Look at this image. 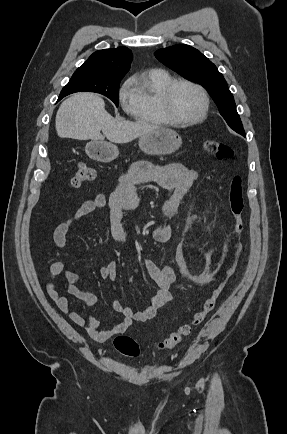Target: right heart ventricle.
Here are the masks:
<instances>
[{
    "label": "right heart ventricle",
    "instance_id": "1",
    "mask_svg": "<svg viewBox=\"0 0 287 434\" xmlns=\"http://www.w3.org/2000/svg\"><path fill=\"white\" fill-rule=\"evenodd\" d=\"M172 79V76L162 69L148 70L134 78L136 103L129 113L140 122L169 124L161 111L159 99L164 86Z\"/></svg>",
    "mask_w": 287,
    "mask_h": 434
}]
</instances>
